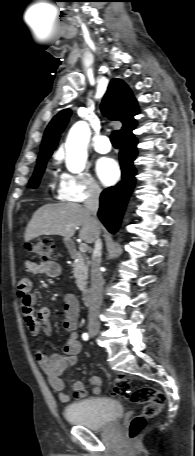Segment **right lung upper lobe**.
<instances>
[{"instance_id": "obj_1", "label": "right lung upper lobe", "mask_w": 195, "mask_h": 456, "mask_svg": "<svg viewBox=\"0 0 195 456\" xmlns=\"http://www.w3.org/2000/svg\"><path fill=\"white\" fill-rule=\"evenodd\" d=\"M101 111L109 119L123 123L121 128L122 136L131 134L136 126V120L133 116L138 114L139 111L137 102L131 90L120 79L111 80L101 104ZM70 115L71 111L65 109L51 120L44 133L38 160L51 156Z\"/></svg>"}]
</instances>
